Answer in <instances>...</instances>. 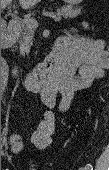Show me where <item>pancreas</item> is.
Masks as SVG:
<instances>
[{
  "instance_id": "1",
  "label": "pancreas",
  "mask_w": 109,
  "mask_h": 170,
  "mask_svg": "<svg viewBox=\"0 0 109 170\" xmlns=\"http://www.w3.org/2000/svg\"><path fill=\"white\" fill-rule=\"evenodd\" d=\"M82 14L81 8H74L72 6H63L60 9H57L56 13L54 14L61 20L62 18H75ZM34 37V30L31 29L27 24L22 22V39L20 42V46H26L32 43Z\"/></svg>"
}]
</instances>
